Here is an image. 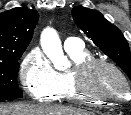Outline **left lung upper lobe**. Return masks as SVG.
<instances>
[{
  "label": "left lung upper lobe",
  "instance_id": "left-lung-upper-lobe-1",
  "mask_svg": "<svg viewBox=\"0 0 131 115\" xmlns=\"http://www.w3.org/2000/svg\"><path fill=\"white\" fill-rule=\"evenodd\" d=\"M79 28L119 67L131 80V53L121 31L95 10L77 6L72 9Z\"/></svg>",
  "mask_w": 131,
  "mask_h": 115
}]
</instances>
